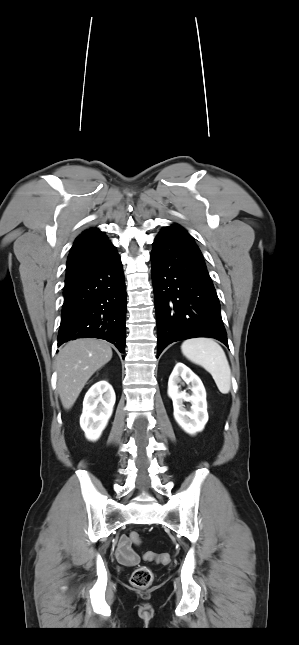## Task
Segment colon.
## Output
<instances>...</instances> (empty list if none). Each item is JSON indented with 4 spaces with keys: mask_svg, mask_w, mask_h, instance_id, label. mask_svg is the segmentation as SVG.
Instances as JSON below:
<instances>
[{
    "mask_svg": "<svg viewBox=\"0 0 299 645\" xmlns=\"http://www.w3.org/2000/svg\"><path fill=\"white\" fill-rule=\"evenodd\" d=\"M130 539L133 543L137 545L141 541L140 535L137 532H132L130 534ZM144 559L147 561H157L162 564H167L170 562L171 557H170V554L168 553L157 554V553L148 551L144 554ZM152 580H153V573L149 568L145 566L136 568L130 577L131 584L137 588H147L152 583Z\"/></svg>",
    "mask_w": 299,
    "mask_h": 645,
    "instance_id": "obj_1",
    "label": "colon"
}]
</instances>
